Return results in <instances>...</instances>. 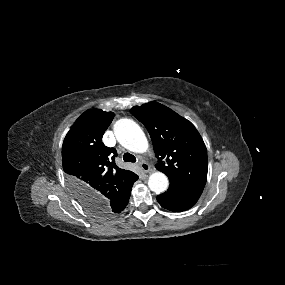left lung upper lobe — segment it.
Wrapping results in <instances>:
<instances>
[{
  "label": "left lung upper lobe",
  "mask_w": 285,
  "mask_h": 285,
  "mask_svg": "<svg viewBox=\"0 0 285 285\" xmlns=\"http://www.w3.org/2000/svg\"><path fill=\"white\" fill-rule=\"evenodd\" d=\"M132 114L146 127L156 157V168L170 181L203 189L208 161L206 146L196 128L160 103L133 107Z\"/></svg>",
  "instance_id": "left-lung-upper-lobe-1"
}]
</instances>
